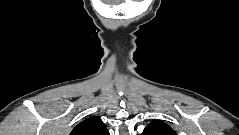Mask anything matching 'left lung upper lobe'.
<instances>
[{
	"label": "left lung upper lobe",
	"mask_w": 239,
	"mask_h": 135,
	"mask_svg": "<svg viewBox=\"0 0 239 135\" xmlns=\"http://www.w3.org/2000/svg\"><path fill=\"white\" fill-rule=\"evenodd\" d=\"M143 135H177L176 132L167 124L162 121L153 120L148 124L144 131Z\"/></svg>",
	"instance_id": "5c2ea615"
}]
</instances>
